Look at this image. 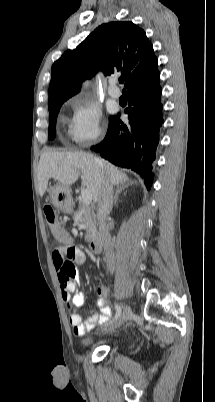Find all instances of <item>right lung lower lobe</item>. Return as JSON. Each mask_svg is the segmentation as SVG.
Masks as SVG:
<instances>
[{
	"label": "right lung lower lobe",
	"instance_id": "98d812e1",
	"mask_svg": "<svg viewBox=\"0 0 215 402\" xmlns=\"http://www.w3.org/2000/svg\"><path fill=\"white\" fill-rule=\"evenodd\" d=\"M160 75L128 90L129 122L111 117L104 140L94 150L115 165L131 168L144 178L147 189L152 184V162L159 142V128L164 123Z\"/></svg>",
	"mask_w": 215,
	"mask_h": 402
}]
</instances>
